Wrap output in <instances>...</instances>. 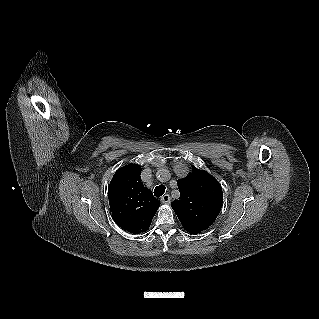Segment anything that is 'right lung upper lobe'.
I'll return each mask as SVG.
<instances>
[{
  "instance_id": "right-lung-upper-lobe-1",
  "label": "right lung upper lobe",
  "mask_w": 319,
  "mask_h": 319,
  "mask_svg": "<svg viewBox=\"0 0 319 319\" xmlns=\"http://www.w3.org/2000/svg\"><path fill=\"white\" fill-rule=\"evenodd\" d=\"M141 167L129 164L118 169L109 191V204L116 224L133 234L146 232L159 208V201L141 182Z\"/></svg>"
}]
</instances>
